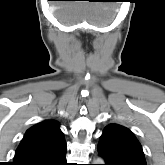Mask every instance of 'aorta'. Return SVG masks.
Here are the masks:
<instances>
[{
  "instance_id": "762f6f07",
  "label": "aorta",
  "mask_w": 165,
  "mask_h": 165,
  "mask_svg": "<svg viewBox=\"0 0 165 165\" xmlns=\"http://www.w3.org/2000/svg\"><path fill=\"white\" fill-rule=\"evenodd\" d=\"M95 164H103L104 160L102 158H97L96 160H94Z\"/></svg>"
}]
</instances>
